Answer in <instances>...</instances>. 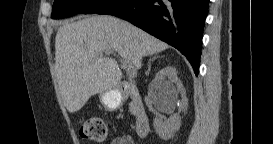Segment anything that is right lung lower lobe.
<instances>
[{
  "mask_svg": "<svg viewBox=\"0 0 273 144\" xmlns=\"http://www.w3.org/2000/svg\"><path fill=\"white\" fill-rule=\"evenodd\" d=\"M208 5L209 0H110L96 13L127 20L172 45L198 75Z\"/></svg>",
  "mask_w": 273,
  "mask_h": 144,
  "instance_id": "right-lung-lower-lobe-1",
  "label": "right lung lower lobe"
}]
</instances>
